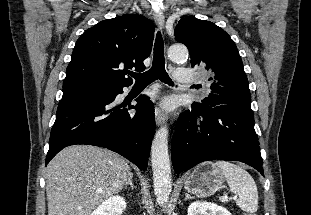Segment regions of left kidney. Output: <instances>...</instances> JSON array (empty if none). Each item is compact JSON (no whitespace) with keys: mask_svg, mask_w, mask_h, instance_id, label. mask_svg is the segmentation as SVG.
<instances>
[{"mask_svg":"<svg viewBox=\"0 0 311 215\" xmlns=\"http://www.w3.org/2000/svg\"><path fill=\"white\" fill-rule=\"evenodd\" d=\"M188 215H232L226 208L213 203L196 201L188 207Z\"/></svg>","mask_w":311,"mask_h":215,"instance_id":"left-kidney-1","label":"left kidney"}]
</instances>
